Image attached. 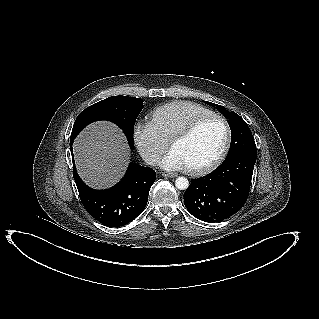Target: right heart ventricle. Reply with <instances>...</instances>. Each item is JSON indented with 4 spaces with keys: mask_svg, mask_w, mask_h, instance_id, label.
Listing matches in <instances>:
<instances>
[{
    "mask_svg": "<svg viewBox=\"0 0 319 319\" xmlns=\"http://www.w3.org/2000/svg\"><path fill=\"white\" fill-rule=\"evenodd\" d=\"M214 113L210 109L190 101H172L151 111L150 123L168 142L193 119Z\"/></svg>",
    "mask_w": 319,
    "mask_h": 319,
    "instance_id": "obj_1",
    "label": "right heart ventricle"
}]
</instances>
